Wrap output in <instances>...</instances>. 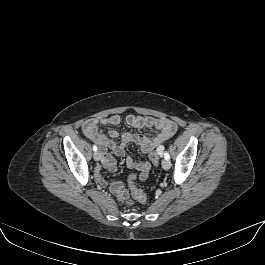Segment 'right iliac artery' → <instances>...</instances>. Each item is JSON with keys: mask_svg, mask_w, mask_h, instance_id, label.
<instances>
[{"mask_svg": "<svg viewBox=\"0 0 265 265\" xmlns=\"http://www.w3.org/2000/svg\"><path fill=\"white\" fill-rule=\"evenodd\" d=\"M93 151L96 152L97 151V146L93 145Z\"/></svg>", "mask_w": 265, "mask_h": 265, "instance_id": "obj_1", "label": "right iliac artery"}]
</instances>
